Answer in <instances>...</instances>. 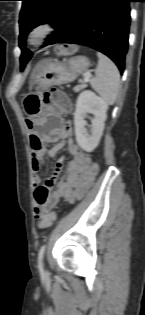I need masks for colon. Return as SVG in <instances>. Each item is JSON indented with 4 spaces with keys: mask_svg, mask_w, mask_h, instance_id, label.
Masks as SVG:
<instances>
[{
    "mask_svg": "<svg viewBox=\"0 0 145 315\" xmlns=\"http://www.w3.org/2000/svg\"><path fill=\"white\" fill-rule=\"evenodd\" d=\"M57 52L61 55H72L76 52V47L71 44H65L57 49ZM45 103H52L54 106L62 111H67L70 109L71 104L67 95L58 89H53L47 92L44 96ZM56 219V213L51 212L46 214L39 222L40 228H47L53 224Z\"/></svg>",
    "mask_w": 145,
    "mask_h": 315,
    "instance_id": "1",
    "label": "colon"
}]
</instances>
